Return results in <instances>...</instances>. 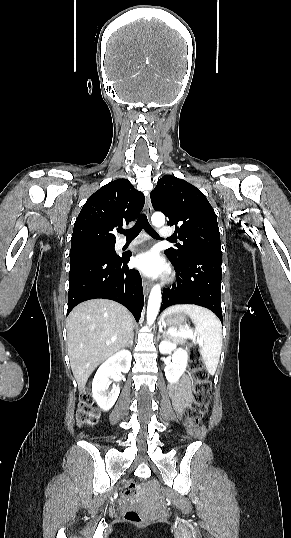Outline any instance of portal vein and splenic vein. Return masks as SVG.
<instances>
[{
	"instance_id": "obj_1",
	"label": "portal vein and splenic vein",
	"mask_w": 291,
	"mask_h": 538,
	"mask_svg": "<svg viewBox=\"0 0 291 538\" xmlns=\"http://www.w3.org/2000/svg\"><path fill=\"white\" fill-rule=\"evenodd\" d=\"M169 334L171 335H181L187 338H191L195 340V334L192 331H184V332H176V331H169ZM200 345H202L201 341H197Z\"/></svg>"
}]
</instances>
